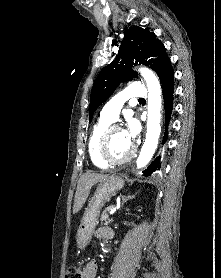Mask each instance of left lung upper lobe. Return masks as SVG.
<instances>
[{
	"instance_id": "5c2ea615",
	"label": "left lung upper lobe",
	"mask_w": 221,
	"mask_h": 278,
	"mask_svg": "<svg viewBox=\"0 0 221 278\" xmlns=\"http://www.w3.org/2000/svg\"><path fill=\"white\" fill-rule=\"evenodd\" d=\"M169 61L164 45L153 32L137 26L125 30L117 57L101 70L94 82L90 98L89 121L97 107L113 94L121 82L137 77V73L131 70L134 64L148 65L158 75Z\"/></svg>"
}]
</instances>
